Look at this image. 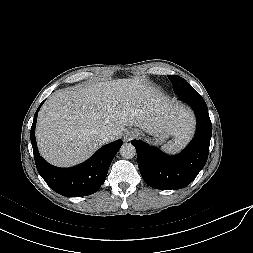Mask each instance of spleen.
<instances>
[{
	"mask_svg": "<svg viewBox=\"0 0 253 253\" xmlns=\"http://www.w3.org/2000/svg\"><path fill=\"white\" fill-rule=\"evenodd\" d=\"M193 134V123L192 119L190 122L183 128V130L175 136V138L169 141L167 144L162 146L163 150L169 153H174L183 148L185 144L190 140Z\"/></svg>",
	"mask_w": 253,
	"mask_h": 253,
	"instance_id": "obj_1",
	"label": "spleen"
}]
</instances>
